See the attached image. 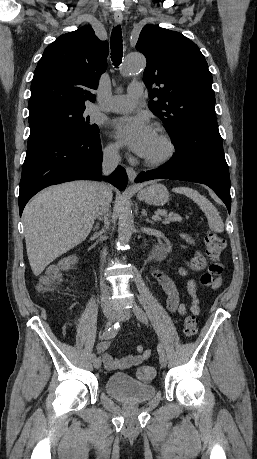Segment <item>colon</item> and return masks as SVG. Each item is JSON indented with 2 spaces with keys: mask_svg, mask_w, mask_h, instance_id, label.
Masks as SVG:
<instances>
[{
  "mask_svg": "<svg viewBox=\"0 0 257 459\" xmlns=\"http://www.w3.org/2000/svg\"><path fill=\"white\" fill-rule=\"evenodd\" d=\"M204 243L206 252L211 260V264L208 269L201 274L200 285L202 287L210 286L215 278L222 273L223 266L220 263V256L225 247V241L219 235L207 231L204 237ZM72 261H67L65 264L59 265L47 271L43 275L38 284L37 289L42 293L51 292L56 283L59 281L62 272L70 269L72 266ZM198 330V320L195 315H189L185 318L183 322V333L187 337H191L196 334ZM137 377L143 381H150L155 376V370L151 366H142L137 369Z\"/></svg>",
  "mask_w": 257,
  "mask_h": 459,
  "instance_id": "5ec220e1",
  "label": "colon"
}]
</instances>
